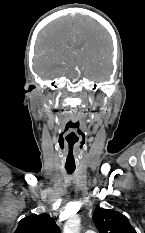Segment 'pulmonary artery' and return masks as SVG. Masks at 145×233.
<instances>
[{
    "label": "pulmonary artery",
    "instance_id": "e3ab8cb5",
    "mask_svg": "<svg viewBox=\"0 0 145 233\" xmlns=\"http://www.w3.org/2000/svg\"><path fill=\"white\" fill-rule=\"evenodd\" d=\"M85 233H96L95 230H87Z\"/></svg>",
    "mask_w": 145,
    "mask_h": 233
}]
</instances>
